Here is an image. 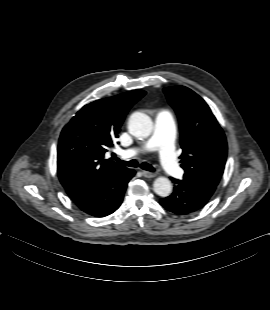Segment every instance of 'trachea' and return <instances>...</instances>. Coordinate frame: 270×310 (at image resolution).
Returning <instances> with one entry per match:
<instances>
[{
    "instance_id": "3493384b",
    "label": "trachea",
    "mask_w": 270,
    "mask_h": 310,
    "mask_svg": "<svg viewBox=\"0 0 270 310\" xmlns=\"http://www.w3.org/2000/svg\"><path fill=\"white\" fill-rule=\"evenodd\" d=\"M114 160H116L117 162H119L125 166H129V167H139L140 166V168H142L143 170L151 171V172L155 171V168L146 162L139 165L137 160L123 161L117 157H115Z\"/></svg>"
}]
</instances>
